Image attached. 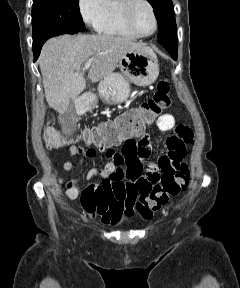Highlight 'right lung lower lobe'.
<instances>
[{"label": "right lung lower lobe", "instance_id": "1", "mask_svg": "<svg viewBox=\"0 0 240 288\" xmlns=\"http://www.w3.org/2000/svg\"><path fill=\"white\" fill-rule=\"evenodd\" d=\"M79 31H73V30H59V31H55L52 33H49L47 36H45L41 42H39L38 44L33 46V52H34V60H36L40 54L41 48L43 46V44L45 43V41L53 36H58L61 34H75Z\"/></svg>", "mask_w": 240, "mask_h": 288}]
</instances>
